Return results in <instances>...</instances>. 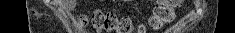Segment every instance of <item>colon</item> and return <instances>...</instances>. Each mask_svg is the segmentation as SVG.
Segmentation results:
<instances>
[{
	"label": "colon",
	"instance_id": "1",
	"mask_svg": "<svg viewBox=\"0 0 235 33\" xmlns=\"http://www.w3.org/2000/svg\"><path fill=\"white\" fill-rule=\"evenodd\" d=\"M181 3L180 0H162L154 8L149 18V27L158 30L174 19V8ZM80 22L83 26H89L95 31H108L116 33H132L133 26L127 17H118L112 12L95 11L90 16H82ZM146 26H140L138 33H146Z\"/></svg>",
	"mask_w": 235,
	"mask_h": 33
}]
</instances>
